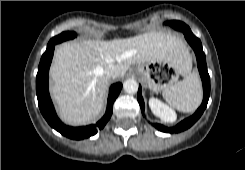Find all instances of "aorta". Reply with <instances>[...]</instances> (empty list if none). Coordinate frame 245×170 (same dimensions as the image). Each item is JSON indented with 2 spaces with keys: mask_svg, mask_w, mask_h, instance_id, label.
<instances>
[{
  "mask_svg": "<svg viewBox=\"0 0 245 170\" xmlns=\"http://www.w3.org/2000/svg\"><path fill=\"white\" fill-rule=\"evenodd\" d=\"M123 89L126 93L134 94L138 91V83L134 79H127L123 83Z\"/></svg>",
  "mask_w": 245,
  "mask_h": 170,
  "instance_id": "obj_1",
  "label": "aorta"
}]
</instances>
